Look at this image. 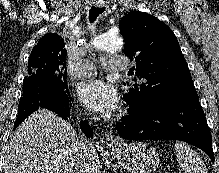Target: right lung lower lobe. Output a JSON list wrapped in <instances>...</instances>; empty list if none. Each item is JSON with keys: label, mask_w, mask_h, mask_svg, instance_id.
<instances>
[{"label": "right lung lower lobe", "mask_w": 219, "mask_h": 173, "mask_svg": "<svg viewBox=\"0 0 219 173\" xmlns=\"http://www.w3.org/2000/svg\"><path fill=\"white\" fill-rule=\"evenodd\" d=\"M72 107L70 98H65L60 91L50 86L41 85L34 90L24 92L18 105V115L14 124L15 128L31 113L39 108H46L67 120ZM80 127L88 137H92L93 130L86 122L81 121Z\"/></svg>", "instance_id": "obj_1"}]
</instances>
